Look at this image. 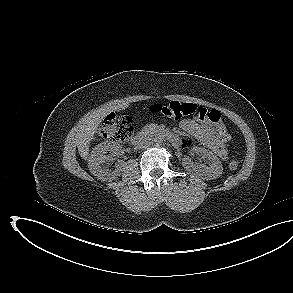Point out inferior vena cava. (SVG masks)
Returning a JSON list of instances; mask_svg holds the SVG:
<instances>
[{"instance_id":"1","label":"inferior vena cava","mask_w":293,"mask_h":293,"mask_svg":"<svg viewBox=\"0 0 293 293\" xmlns=\"http://www.w3.org/2000/svg\"><path fill=\"white\" fill-rule=\"evenodd\" d=\"M152 141L149 137H138L135 141L136 149H146L151 145Z\"/></svg>"}]
</instances>
